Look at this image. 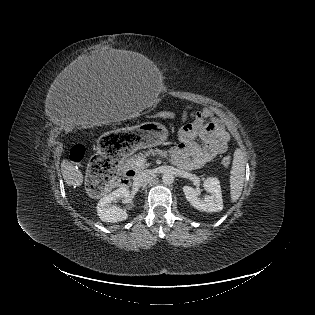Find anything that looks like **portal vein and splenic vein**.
<instances>
[{"label": "portal vein and splenic vein", "mask_w": 315, "mask_h": 315, "mask_svg": "<svg viewBox=\"0 0 315 315\" xmlns=\"http://www.w3.org/2000/svg\"><path fill=\"white\" fill-rule=\"evenodd\" d=\"M142 163H143V161H140V162H138V165L140 166V165H142Z\"/></svg>", "instance_id": "1"}]
</instances>
